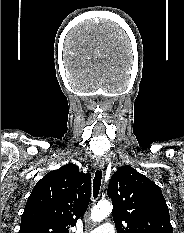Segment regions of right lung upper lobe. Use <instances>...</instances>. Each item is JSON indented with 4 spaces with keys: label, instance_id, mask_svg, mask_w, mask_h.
I'll return each mask as SVG.
<instances>
[{
    "label": "right lung upper lobe",
    "instance_id": "1",
    "mask_svg": "<svg viewBox=\"0 0 184 233\" xmlns=\"http://www.w3.org/2000/svg\"><path fill=\"white\" fill-rule=\"evenodd\" d=\"M91 174L66 164L34 186L18 233H69L90 202Z\"/></svg>",
    "mask_w": 184,
    "mask_h": 233
}]
</instances>
